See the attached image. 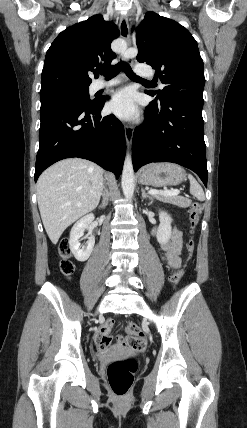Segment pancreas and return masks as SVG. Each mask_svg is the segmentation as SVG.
<instances>
[{
    "mask_svg": "<svg viewBox=\"0 0 247 428\" xmlns=\"http://www.w3.org/2000/svg\"><path fill=\"white\" fill-rule=\"evenodd\" d=\"M153 197L164 203H170L181 208H186L191 205V201L185 197L180 196H165L161 194H154Z\"/></svg>",
    "mask_w": 247,
    "mask_h": 428,
    "instance_id": "obj_1",
    "label": "pancreas"
}]
</instances>
